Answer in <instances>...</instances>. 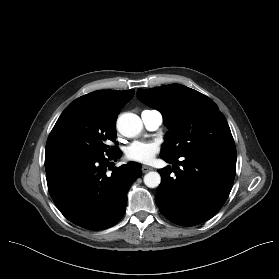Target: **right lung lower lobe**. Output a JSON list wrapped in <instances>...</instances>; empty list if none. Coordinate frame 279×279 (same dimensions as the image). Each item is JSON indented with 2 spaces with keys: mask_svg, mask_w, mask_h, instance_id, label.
<instances>
[{
  "mask_svg": "<svg viewBox=\"0 0 279 279\" xmlns=\"http://www.w3.org/2000/svg\"><path fill=\"white\" fill-rule=\"evenodd\" d=\"M121 155L118 149L98 157L71 155L45 160L49 193L69 221L89 230H103L123 217L128 189L141 176L142 167L130 162L107 174L109 161Z\"/></svg>",
  "mask_w": 279,
  "mask_h": 279,
  "instance_id": "right-lung-lower-lobe-1",
  "label": "right lung lower lobe"
}]
</instances>
